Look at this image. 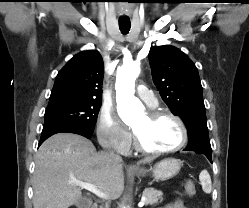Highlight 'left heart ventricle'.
I'll return each mask as SVG.
<instances>
[{"label":"left heart ventricle","mask_w":249,"mask_h":208,"mask_svg":"<svg viewBox=\"0 0 249 208\" xmlns=\"http://www.w3.org/2000/svg\"><path fill=\"white\" fill-rule=\"evenodd\" d=\"M133 130L150 149H169L181 141L180 127L169 117L151 120L146 114L135 122Z\"/></svg>","instance_id":"1"}]
</instances>
